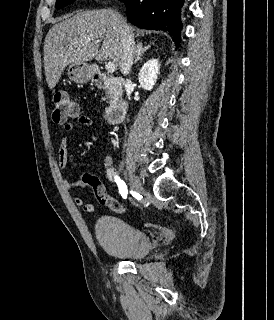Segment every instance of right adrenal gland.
<instances>
[{
    "label": "right adrenal gland",
    "instance_id": "2a0ac1e0",
    "mask_svg": "<svg viewBox=\"0 0 274 320\" xmlns=\"http://www.w3.org/2000/svg\"><path fill=\"white\" fill-rule=\"evenodd\" d=\"M149 48H151V46H146V48H143L142 44H138V46L135 50L134 64H137V62H139V60H142L143 54H145V52H147V50H149Z\"/></svg>",
    "mask_w": 274,
    "mask_h": 320
}]
</instances>
